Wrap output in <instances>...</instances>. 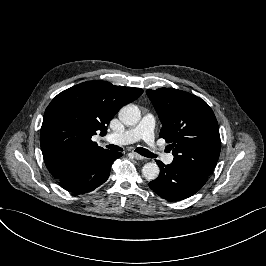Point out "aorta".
I'll list each match as a JSON object with an SVG mask.
<instances>
[{
  "instance_id": "1",
  "label": "aorta",
  "mask_w": 266,
  "mask_h": 266,
  "mask_svg": "<svg viewBox=\"0 0 266 266\" xmlns=\"http://www.w3.org/2000/svg\"><path fill=\"white\" fill-rule=\"evenodd\" d=\"M140 114V110L136 105L127 104L120 109L118 118L125 125H135L140 120ZM142 174L148 181H153L158 178L160 169L156 163H146L142 167Z\"/></svg>"
}]
</instances>
